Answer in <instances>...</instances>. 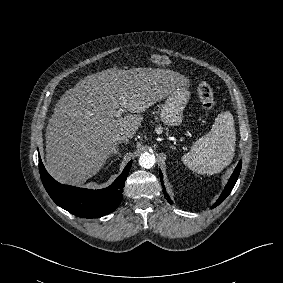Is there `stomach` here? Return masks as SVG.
<instances>
[{
	"instance_id": "1",
	"label": "stomach",
	"mask_w": 283,
	"mask_h": 283,
	"mask_svg": "<svg viewBox=\"0 0 283 283\" xmlns=\"http://www.w3.org/2000/svg\"><path fill=\"white\" fill-rule=\"evenodd\" d=\"M190 92L184 86L173 90L160 111L161 121L167 126H178L183 120V110L189 101Z\"/></svg>"
}]
</instances>
